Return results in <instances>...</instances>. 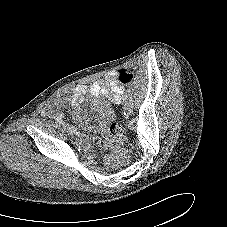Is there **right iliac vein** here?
I'll use <instances>...</instances> for the list:
<instances>
[{
    "label": "right iliac vein",
    "mask_w": 227,
    "mask_h": 227,
    "mask_svg": "<svg viewBox=\"0 0 227 227\" xmlns=\"http://www.w3.org/2000/svg\"><path fill=\"white\" fill-rule=\"evenodd\" d=\"M63 126H64V129L66 130V132L69 135H73L74 134V130L72 129V127L69 124H64Z\"/></svg>",
    "instance_id": "right-iliac-vein-1"
}]
</instances>
